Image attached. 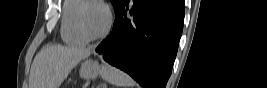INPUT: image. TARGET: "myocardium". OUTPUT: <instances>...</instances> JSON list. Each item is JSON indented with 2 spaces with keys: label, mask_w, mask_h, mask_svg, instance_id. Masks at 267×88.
<instances>
[{
  "label": "myocardium",
  "mask_w": 267,
  "mask_h": 88,
  "mask_svg": "<svg viewBox=\"0 0 267 88\" xmlns=\"http://www.w3.org/2000/svg\"><path fill=\"white\" fill-rule=\"evenodd\" d=\"M88 5H97V6L101 7L102 9H104V11L106 12V15H107V23L105 25V28L103 29V31L101 33H99L97 35L89 34L84 27L82 14H83V10ZM76 21H77V26H78L79 32L82 35V37L84 39H86L87 41H96V40H100V39L104 38L110 32L112 24H113V15H112V12H111L109 6L106 5L104 2L98 1V0H89L79 7L78 12H77Z\"/></svg>",
  "instance_id": "f54148a6"
}]
</instances>
